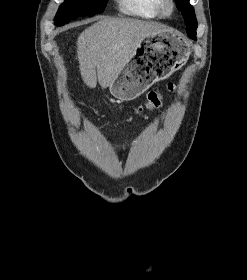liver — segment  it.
I'll list each match as a JSON object with an SVG mask.
<instances>
[{"label":"liver","instance_id":"obj_1","mask_svg":"<svg viewBox=\"0 0 247 280\" xmlns=\"http://www.w3.org/2000/svg\"><path fill=\"white\" fill-rule=\"evenodd\" d=\"M169 31L165 26L131 18H105L87 29L77 39L79 69L84 83L102 88L114 81L147 36Z\"/></svg>","mask_w":247,"mask_h":280}]
</instances>
